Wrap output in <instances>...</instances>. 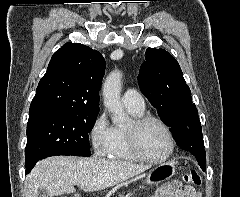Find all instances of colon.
Returning <instances> with one entry per match:
<instances>
[{"instance_id":"obj_1","label":"colon","mask_w":240,"mask_h":197,"mask_svg":"<svg viewBox=\"0 0 240 197\" xmlns=\"http://www.w3.org/2000/svg\"><path fill=\"white\" fill-rule=\"evenodd\" d=\"M184 181L188 184L199 186L202 183L201 175L196 170H189L184 174L183 177ZM166 190L162 188L159 190L158 195L159 197H165L166 196ZM66 197H78L76 195L74 196H66Z\"/></svg>"}]
</instances>
